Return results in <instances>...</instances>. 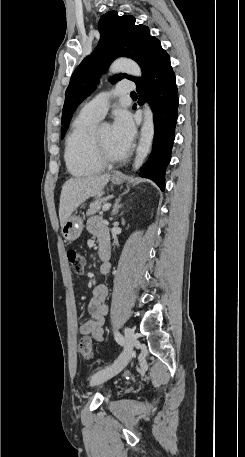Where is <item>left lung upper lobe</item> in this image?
Returning a JSON list of instances; mask_svg holds the SVG:
<instances>
[{"instance_id": "5c2ea615", "label": "left lung upper lobe", "mask_w": 245, "mask_h": 457, "mask_svg": "<svg viewBox=\"0 0 245 457\" xmlns=\"http://www.w3.org/2000/svg\"><path fill=\"white\" fill-rule=\"evenodd\" d=\"M98 29L100 42L95 51L86 57L72 74L66 89L65 103L62 113V137L67 131L72 114L77 106L96 88L99 77L117 57H129L140 66L146 58L161 47L160 41L150 35L145 25H135V17L119 16L110 11L101 16ZM123 78L135 81L136 77L119 74L110 78L112 83Z\"/></svg>"}]
</instances>
